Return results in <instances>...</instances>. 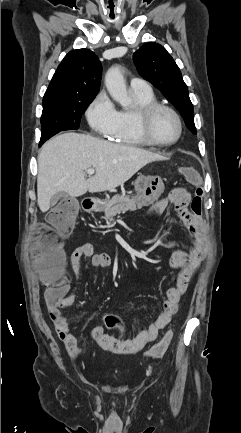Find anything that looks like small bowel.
<instances>
[{
    "label": "small bowel",
    "instance_id": "obj_1",
    "mask_svg": "<svg viewBox=\"0 0 241 433\" xmlns=\"http://www.w3.org/2000/svg\"><path fill=\"white\" fill-rule=\"evenodd\" d=\"M192 201L193 197L187 189L176 188L168 197L157 201L147 211L148 215L155 216L161 214L167 208L168 204L171 203L174 205L178 217L187 226L190 232L192 248L188 252L182 250L174 252L169 259V266L174 269H180L179 275L187 274L190 278L197 271L207 253L206 227L199 216L200 213L193 212ZM189 206H191L192 212L189 210ZM85 257L90 258V264L93 268L105 269L111 265V259L107 254L94 253L92 244H83L76 248L69 257L71 268L77 278L81 275V260ZM185 291L186 289H180L177 284L169 287L166 293V300L163 302L162 312L151 321L146 329L140 331L134 337L126 339V347L121 351L114 350L109 344L110 342L117 341L118 337L105 333L101 326L90 329L88 335L106 351L122 354L137 353L141 351L146 344L154 341L159 331L171 321ZM67 292L68 286H66L65 289V297L55 305H49L48 312L55 330L67 351L73 357H78L83 351L78 346V340L70 329L67 319L61 312V309L71 306L75 299L74 293L67 295Z\"/></svg>",
    "mask_w": 241,
    "mask_h": 433
}]
</instances>
